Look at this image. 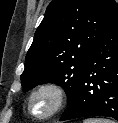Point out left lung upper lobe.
I'll list each match as a JSON object with an SVG mask.
<instances>
[{"label": "left lung upper lobe", "mask_w": 118, "mask_h": 123, "mask_svg": "<svg viewBox=\"0 0 118 123\" xmlns=\"http://www.w3.org/2000/svg\"><path fill=\"white\" fill-rule=\"evenodd\" d=\"M117 19L114 0H52L25 58L23 90L56 83L69 104L93 48Z\"/></svg>", "instance_id": "1"}]
</instances>
